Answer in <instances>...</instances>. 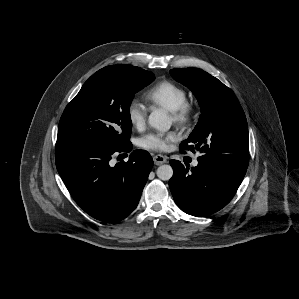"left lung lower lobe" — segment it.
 <instances>
[{
	"label": "left lung lower lobe",
	"mask_w": 299,
	"mask_h": 299,
	"mask_svg": "<svg viewBox=\"0 0 299 299\" xmlns=\"http://www.w3.org/2000/svg\"><path fill=\"white\" fill-rule=\"evenodd\" d=\"M174 174L169 187L178 207L185 213L205 217L234 197L246 169L221 163L198 161L196 167L185 168L178 160H170Z\"/></svg>",
	"instance_id": "obj_1"
}]
</instances>
